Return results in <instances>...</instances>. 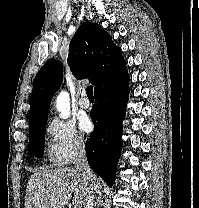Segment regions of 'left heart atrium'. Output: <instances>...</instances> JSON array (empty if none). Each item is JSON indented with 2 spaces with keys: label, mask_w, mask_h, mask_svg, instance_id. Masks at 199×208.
Returning <instances> with one entry per match:
<instances>
[{
  "label": "left heart atrium",
  "mask_w": 199,
  "mask_h": 208,
  "mask_svg": "<svg viewBox=\"0 0 199 208\" xmlns=\"http://www.w3.org/2000/svg\"><path fill=\"white\" fill-rule=\"evenodd\" d=\"M93 127V123L88 116L84 115L80 118L79 128L83 133H90L93 130Z\"/></svg>",
  "instance_id": "39dd6f15"
}]
</instances>
